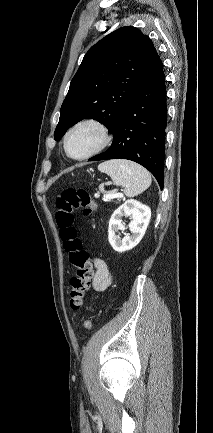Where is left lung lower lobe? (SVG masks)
Returning a JSON list of instances; mask_svg holds the SVG:
<instances>
[{
  "label": "left lung lower lobe",
  "mask_w": 213,
  "mask_h": 433,
  "mask_svg": "<svg viewBox=\"0 0 213 433\" xmlns=\"http://www.w3.org/2000/svg\"><path fill=\"white\" fill-rule=\"evenodd\" d=\"M166 110L163 64L158 56L119 116L111 147L89 161L132 160L148 169L163 189Z\"/></svg>",
  "instance_id": "left-lung-lower-lobe-1"
}]
</instances>
